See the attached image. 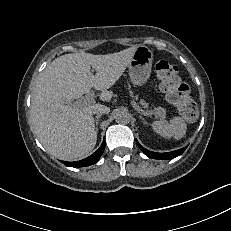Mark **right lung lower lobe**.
<instances>
[{"instance_id": "obj_1", "label": "right lung lower lobe", "mask_w": 231, "mask_h": 231, "mask_svg": "<svg viewBox=\"0 0 231 231\" xmlns=\"http://www.w3.org/2000/svg\"><path fill=\"white\" fill-rule=\"evenodd\" d=\"M105 149V141L101 144L100 148L93 153L91 156L80 160L76 162H65L62 161L63 164H65L68 167H85V166H90L98 161V159L101 157Z\"/></svg>"}]
</instances>
